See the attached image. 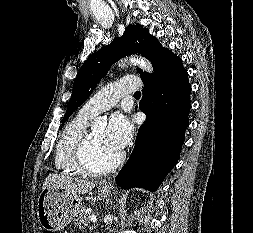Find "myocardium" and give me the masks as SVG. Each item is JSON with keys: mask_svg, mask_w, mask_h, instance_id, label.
<instances>
[{"mask_svg": "<svg viewBox=\"0 0 253 233\" xmlns=\"http://www.w3.org/2000/svg\"><path fill=\"white\" fill-rule=\"evenodd\" d=\"M92 145V133L87 131L78 143L74 152V164L84 174L102 175L116 169L123 161L124 154L119 153L115 159L103 166H94L89 160V151Z\"/></svg>", "mask_w": 253, "mask_h": 233, "instance_id": "obj_1", "label": "myocardium"}]
</instances>
